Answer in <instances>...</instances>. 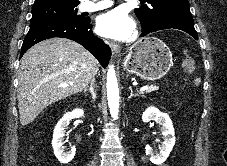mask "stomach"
I'll return each mask as SVG.
<instances>
[{"label": "stomach", "instance_id": "stomach-1", "mask_svg": "<svg viewBox=\"0 0 227 166\" xmlns=\"http://www.w3.org/2000/svg\"><path fill=\"white\" fill-rule=\"evenodd\" d=\"M173 64L172 53L158 38L146 37L134 43L125 60L123 68L147 81L162 78Z\"/></svg>", "mask_w": 227, "mask_h": 166}]
</instances>
